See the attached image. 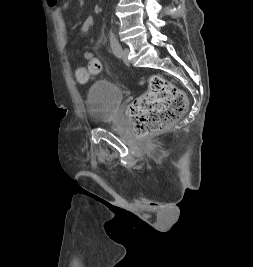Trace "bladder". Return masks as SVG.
<instances>
[{
  "instance_id": "31cf9c89",
  "label": "bladder",
  "mask_w": 253,
  "mask_h": 267,
  "mask_svg": "<svg viewBox=\"0 0 253 267\" xmlns=\"http://www.w3.org/2000/svg\"><path fill=\"white\" fill-rule=\"evenodd\" d=\"M124 95L115 84L99 80L94 82L86 93L85 106L90 121L94 124H107L118 115Z\"/></svg>"
}]
</instances>
